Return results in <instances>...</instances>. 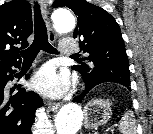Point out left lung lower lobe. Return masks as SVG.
<instances>
[{"label": "left lung lower lobe", "instance_id": "left-lung-lower-lobe-1", "mask_svg": "<svg viewBox=\"0 0 153 134\" xmlns=\"http://www.w3.org/2000/svg\"><path fill=\"white\" fill-rule=\"evenodd\" d=\"M85 90L77 97H75L74 101L76 102H81L83 100V98L85 97V95L92 89L94 88L95 86H97V84H88L85 82ZM129 90H131L130 88H128Z\"/></svg>", "mask_w": 153, "mask_h": 134}]
</instances>
